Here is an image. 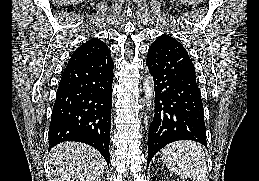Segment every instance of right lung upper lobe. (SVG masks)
<instances>
[{"mask_svg":"<svg viewBox=\"0 0 259 181\" xmlns=\"http://www.w3.org/2000/svg\"><path fill=\"white\" fill-rule=\"evenodd\" d=\"M109 51L107 45L101 40L97 38L90 39L75 50L67 66L97 58Z\"/></svg>","mask_w":259,"mask_h":181,"instance_id":"1","label":"right lung upper lobe"}]
</instances>
